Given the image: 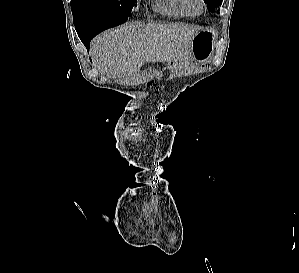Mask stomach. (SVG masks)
I'll list each match as a JSON object with an SVG mask.
<instances>
[{"label":"stomach","mask_w":299,"mask_h":273,"mask_svg":"<svg viewBox=\"0 0 299 273\" xmlns=\"http://www.w3.org/2000/svg\"><path fill=\"white\" fill-rule=\"evenodd\" d=\"M215 40L216 32L214 29L205 28L199 30L191 41V52L193 58L201 63L208 62L214 52Z\"/></svg>","instance_id":"stomach-1"}]
</instances>
